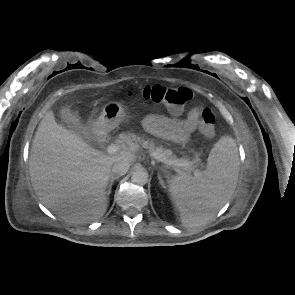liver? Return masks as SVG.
Instances as JSON below:
<instances>
[{
	"label": "liver",
	"instance_id": "obj_1",
	"mask_svg": "<svg viewBox=\"0 0 295 295\" xmlns=\"http://www.w3.org/2000/svg\"><path fill=\"white\" fill-rule=\"evenodd\" d=\"M136 148L106 155L57 124L52 111L42 118L33 139L29 171L41 202L68 222L93 221L106 212L111 168L133 163Z\"/></svg>",
	"mask_w": 295,
	"mask_h": 295
}]
</instances>
